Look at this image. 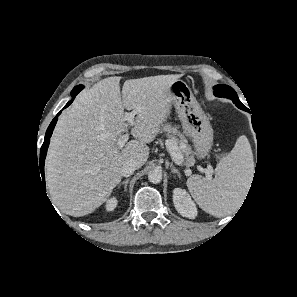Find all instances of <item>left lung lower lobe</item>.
<instances>
[{
	"label": "left lung lower lobe",
	"mask_w": 297,
	"mask_h": 297,
	"mask_svg": "<svg viewBox=\"0 0 297 297\" xmlns=\"http://www.w3.org/2000/svg\"><path fill=\"white\" fill-rule=\"evenodd\" d=\"M236 106L242 110H245L247 112H249V109H247L244 105H241V104H236Z\"/></svg>",
	"instance_id": "obj_1"
}]
</instances>
